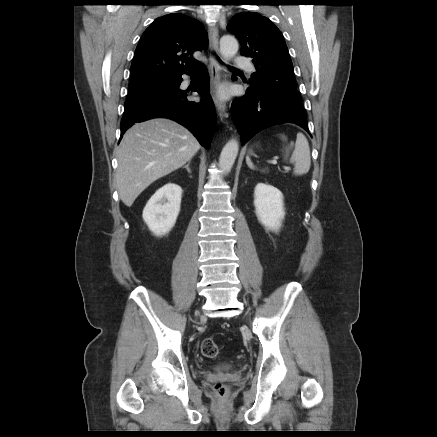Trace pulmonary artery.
I'll use <instances>...</instances> for the list:
<instances>
[{"mask_svg":"<svg viewBox=\"0 0 437 437\" xmlns=\"http://www.w3.org/2000/svg\"><path fill=\"white\" fill-rule=\"evenodd\" d=\"M235 66L238 68L246 69L250 72L254 71L252 63L245 57H237L235 59Z\"/></svg>","mask_w":437,"mask_h":437,"instance_id":"pulmonary-artery-1","label":"pulmonary artery"}]
</instances>
